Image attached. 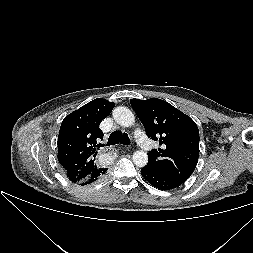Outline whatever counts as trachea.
I'll list each match as a JSON object with an SVG mask.
<instances>
[{
	"label": "trachea",
	"mask_w": 253,
	"mask_h": 253,
	"mask_svg": "<svg viewBox=\"0 0 253 253\" xmlns=\"http://www.w3.org/2000/svg\"><path fill=\"white\" fill-rule=\"evenodd\" d=\"M123 144V145H129L130 139L126 133H122L121 131H115L112 132L109 136L107 145H115V144Z\"/></svg>",
	"instance_id": "obj_1"
}]
</instances>
